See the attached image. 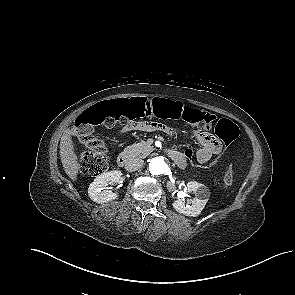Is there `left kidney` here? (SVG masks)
Wrapping results in <instances>:
<instances>
[{"instance_id": "left-kidney-1", "label": "left kidney", "mask_w": 295, "mask_h": 295, "mask_svg": "<svg viewBox=\"0 0 295 295\" xmlns=\"http://www.w3.org/2000/svg\"><path fill=\"white\" fill-rule=\"evenodd\" d=\"M187 190L188 192H194L195 197L193 199H188L187 201L184 199H178L173 202V208L178 213L186 216H198L210 197V191L205 185L195 181L187 183Z\"/></svg>"}]
</instances>
